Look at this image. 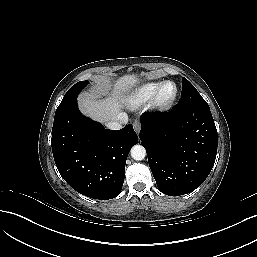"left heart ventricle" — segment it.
Wrapping results in <instances>:
<instances>
[{
  "mask_svg": "<svg viewBox=\"0 0 257 257\" xmlns=\"http://www.w3.org/2000/svg\"><path fill=\"white\" fill-rule=\"evenodd\" d=\"M173 93H174V87L172 85H168L164 92V98L169 99L170 97H172Z\"/></svg>",
  "mask_w": 257,
  "mask_h": 257,
  "instance_id": "1",
  "label": "left heart ventricle"
}]
</instances>
